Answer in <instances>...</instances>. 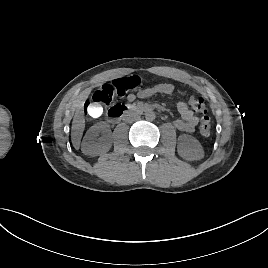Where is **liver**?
Returning <instances> with one entry per match:
<instances>
[{
  "label": "liver",
  "instance_id": "6515ba94",
  "mask_svg": "<svg viewBox=\"0 0 268 268\" xmlns=\"http://www.w3.org/2000/svg\"><path fill=\"white\" fill-rule=\"evenodd\" d=\"M90 91H91L90 89L85 90L82 94H80L78 98V107L74 115L72 127H71L72 143L75 148L79 147L80 140L83 135L84 128H85L83 103L88 98Z\"/></svg>",
  "mask_w": 268,
  "mask_h": 268
}]
</instances>
